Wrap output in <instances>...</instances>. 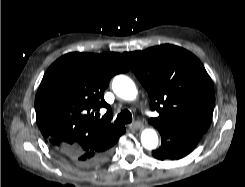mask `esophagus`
Segmentation results:
<instances>
[{"mask_svg": "<svg viewBox=\"0 0 245 187\" xmlns=\"http://www.w3.org/2000/svg\"><path fill=\"white\" fill-rule=\"evenodd\" d=\"M142 127H143V125L139 121H136V122L129 125V128L132 130H138V129H141Z\"/></svg>", "mask_w": 245, "mask_h": 187, "instance_id": "34e87169", "label": "esophagus"}]
</instances>
